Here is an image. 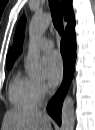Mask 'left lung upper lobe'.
<instances>
[{
	"instance_id": "obj_1",
	"label": "left lung upper lobe",
	"mask_w": 95,
	"mask_h": 130,
	"mask_svg": "<svg viewBox=\"0 0 95 130\" xmlns=\"http://www.w3.org/2000/svg\"><path fill=\"white\" fill-rule=\"evenodd\" d=\"M25 23H26L25 17H22L18 23L17 30L15 33L14 48L18 53H20L22 50V43L24 40Z\"/></svg>"
}]
</instances>
